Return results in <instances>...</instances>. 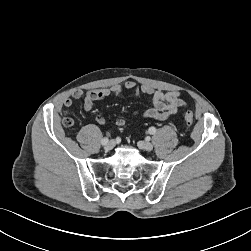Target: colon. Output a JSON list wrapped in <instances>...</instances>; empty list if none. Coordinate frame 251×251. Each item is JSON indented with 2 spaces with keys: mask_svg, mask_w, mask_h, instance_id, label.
<instances>
[{
  "mask_svg": "<svg viewBox=\"0 0 251 251\" xmlns=\"http://www.w3.org/2000/svg\"><path fill=\"white\" fill-rule=\"evenodd\" d=\"M184 119H185V122L188 126H192L193 123H194V116H193V113L191 111H187L185 113V116H184ZM63 124L67 127H70L74 124V120L72 118H69V117H64L63 118Z\"/></svg>",
  "mask_w": 251,
  "mask_h": 251,
  "instance_id": "colon-1",
  "label": "colon"
}]
</instances>
